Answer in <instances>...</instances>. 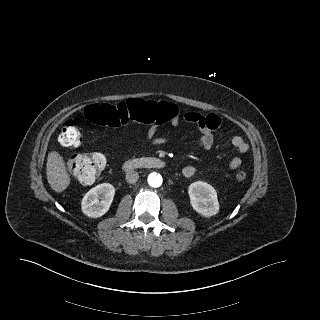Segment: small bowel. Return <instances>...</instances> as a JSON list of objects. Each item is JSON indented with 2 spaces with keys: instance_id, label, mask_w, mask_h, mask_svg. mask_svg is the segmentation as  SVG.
Here are the masks:
<instances>
[{
  "instance_id": "c3829d8e",
  "label": "small bowel",
  "mask_w": 320,
  "mask_h": 320,
  "mask_svg": "<svg viewBox=\"0 0 320 320\" xmlns=\"http://www.w3.org/2000/svg\"><path fill=\"white\" fill-rule=\"evenodd\" d=\"M175 115L169 120L172 125H178L181 119L195 123L198 125L201 131V137L199 141V145L201 148L209 149L212 147L214 143V129H216L221 121L218 117L210 115L205 116L197 112H187L183 115L180 114L177 108H175ZM157 125L150 124L146 128V138L152 144H160L165 141L164 137H157ZM232 146L236 149L239 154H246L249 150V145L244 141V139L240 136H234L232 138ZM242 160L240 157H233L229 161V168L237 169L241 166ZM196 173V168L193 165L185 166L182 170L183 176L190 178L194 176Z\"/></svg>"
}]
</instances>
